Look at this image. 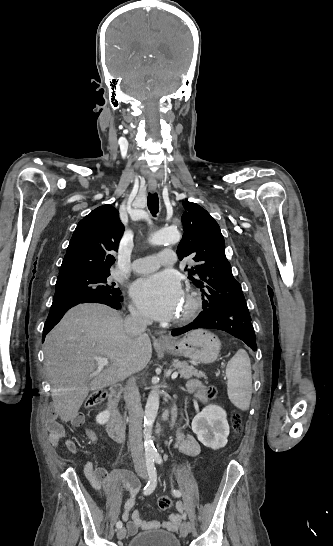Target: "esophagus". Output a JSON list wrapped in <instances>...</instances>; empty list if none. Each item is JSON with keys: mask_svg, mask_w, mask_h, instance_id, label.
Instances as JSON below:
<instances>
[{"mask_svg": "<svg viewBox=\"0 0 333 546\" xmlns=\"http://www.w3.org/2000/svg\"><path fill=\"white\" fill-rule=\"evenodd\" d=\"M149 190H150L151 193H155L157 191V185L156 184H150L149 185ZM158 342L161 343V344H166V343L169 342V340L165 336L161 335L158 338Z\"/></svg>", "mask_w": 333, "mask_h": 546, "instance_id": "obj_1", "label": "esophagus"}]
</instances>
